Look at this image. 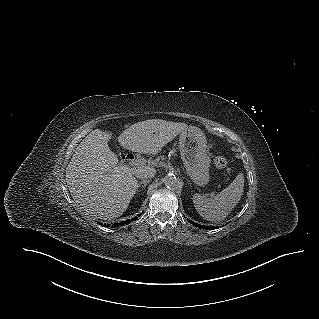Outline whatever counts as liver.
<instances>
[{"label":"liver","instance_id":"liver-1","mask_svg":"<svg viewBox=\"0 0 319 319\" xmlns=\"http://www.w3.org/2000/svg\"><path fill=\"white\" fill-rule=\"evenodd\" d=\"M188 128L185 123L150 119L128 127L118 142L133 152L156 154ZM111 137L112 132L91 131L76 147L66 169V183L75 203L87 215L103 220L120 217L136 192L134 175L142 169H154L118 163L108 146Z\"/></svg>","mask_w":319,"mask_h":319}]
</instances>
